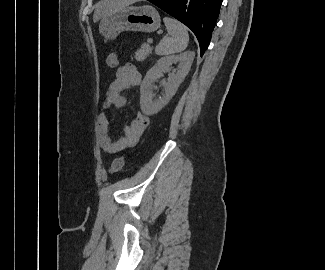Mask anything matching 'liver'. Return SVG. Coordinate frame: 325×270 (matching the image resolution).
<instances>
[{
	"instance_id": "1",
	"label": "liver",
	"mask_w": 325,
	"mask_h": 270,
	"mask_svg": "<svg viewBox=\"0 0 325 270\" xmlns=\"http://www.w3.org/2000/svg\"><path fill=\"white\" fill-rule=\"evenodd\" d=\"M129 4V0H101L95 6L94 23L119 9L125 8Z\"/></svg>"
}]
</instances>
